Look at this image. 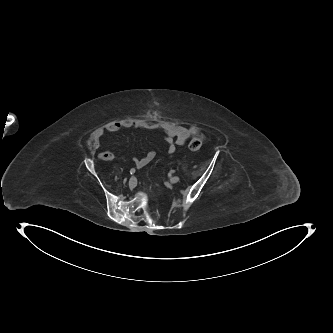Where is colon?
<instances>
[{
    "mask_svg": "<svg viewBox=\"0 0 333 333\" xmlns=\"http://www.w3.org/2000/svg\"><path fill=\"white\" fill-rule=\"evenodd\" d=\"M202 144V140L198 137H195L189 142V149L192 151H197L201 148Z\"/></svg>",
    "mask_w": 333,
    "mask_h": 333,
    "instance_id": "5ec220e1",
    "label": "colon"
}]
</instances>
